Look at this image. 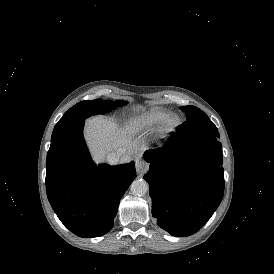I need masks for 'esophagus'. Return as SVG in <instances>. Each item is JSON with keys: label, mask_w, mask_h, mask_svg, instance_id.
Wrapping results in <instances>:
<instances>
[{"label": "esophagus", "mask_w": 274, "mask_h": 274, "mask_svg": "<svg viewBox=\"0 0 274 274\" xmlns=\"http://www.w3.org/2000/svg\"><path fill=\"white\" fill-rule=\"evenodd\" d=\"M135 168H136L137 173L141 176V175H143L144 172H146L148 170L149 165H148V163H146L144 161L136 160Z\"/></svg>", "instance_id": "1"}]
</instances>
